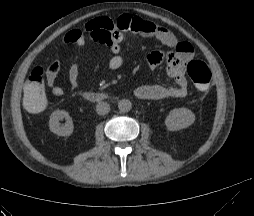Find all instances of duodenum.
I'll use <instances>...</instances> for the list:
<instances>
[{"label":"duodenum","instance_id":"1","mask_svg":"<svg viewBox=\"0 0 254 216\" xmlns=\"http://www.w3.org/2000/svg\"><path fill=\"white\" fill-rule=\"evenodd\" d=\"M85 98L89 101H101L107 98V95L101 92L89 91L85 93Z\"/></svg>","mask_w":254,"mask_h":216}]
</instances>
